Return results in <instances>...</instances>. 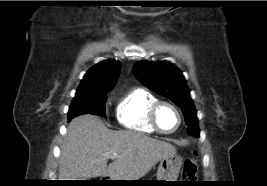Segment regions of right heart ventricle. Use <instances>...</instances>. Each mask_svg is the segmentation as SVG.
Masks as SVG:
<instances>
[{"instance_id":"right-heart-ventricle-1","label":"right heart ventricle","mask_w":267,"mask_h":186,"mask_svg":"<svg viewBox=\"0 0 267 186\" xmlns=\"http://www.w3.org/2000/svg\"><path fill=\"white\" fill-rule=\"evenodd\" d=\"M158 99L143 88H136L125 95L117 104L116 119L128 131L154 134L156 131L148 120L151 105Z\"/></svg>"}]
</instances>
